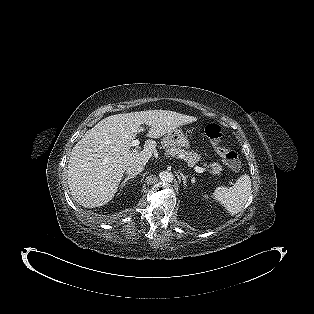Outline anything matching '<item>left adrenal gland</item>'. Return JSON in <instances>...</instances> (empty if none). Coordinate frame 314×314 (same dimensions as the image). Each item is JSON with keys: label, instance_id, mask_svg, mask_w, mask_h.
Returning a JSON list of instances; mask_svg holds the SVG:
<instances>
[{"label": "left adrenal gland", "instance_id": "obj_1", "mask_svg": "<svg viewBox=\"0 0 314 314\" xmlns=\"http://www.w3.org/2000/svg\"><path fill=\"white\" fill-rule=\"evenodd\" d=\"M181 177H182V180H183V184H184V187L186 188L187 187V176L184 175L183 173H180Z\"/></svg>", "mask_w": 314, "mask_h": 314}]
</instances>
